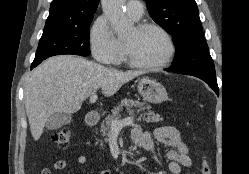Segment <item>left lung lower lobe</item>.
I'll use <instances>...</instances> for the list:
<instances>
[{"instance_id":"left-lung-lower-lobe-1","label":"left lung lower lobe","mask_w":249,"mask_h":174,"mask_svg":"<svg viewBox=\"0 0 249 174\" xmlns=\"http://www.w3.org/2000/svg\"><path fill=\"white\" fill-rule=\"evenodd\" d=\"M168 72H174V73H180L185 75H192L195 77H198L205 81L214 91L217 95H219V88L217 85L216 80V74L212 71H206V70H198V71H190V72H178L177 70L173 68L166 69Z\"/></svg>"}]
</instances>
